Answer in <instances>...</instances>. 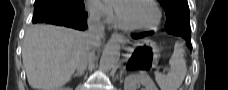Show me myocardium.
Instances as JSON below:
<instances>
[{
	"label": "myocardium",
	"mask_w": 228,
	"mask_h": 90,
	"mask_svg": "<svg viewBox=\"0 0 228 90\" xmlns=\"http://www.w3.org/2000/svg\"><path fill=\"white\" fill-rule=\"evenodd\" d=\"M134 1H138V0H123V1H120L119 4L117 5V16H118V20H119L120 24L122 25V27H124L125 29H128V30L143 31V32L157 30L160 27L161 22H162V11H161L158 3L155 0H146V1L150 2L157 11V21H156L155 25H153L151 27H141V26L131 25L126 21V19L123 16V13H122V7L126 4L134 2Z\"/></svg>",
	"instance_id": "myocardium-1"
}]
</instances>
